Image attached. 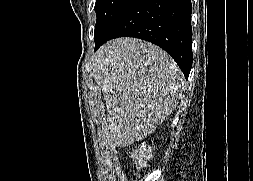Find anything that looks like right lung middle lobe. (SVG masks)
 I'll use <instances>...</instances> for the list:
<instances>
[{
	"mask_svg": "<svg viewBox=\"0 0 253 181\" xmlns=\"http://www.w3.org/2000/svg\"><path fill=\"white\" fill-rule=\"evenodd\" d=\"M132 0H96L97 21L94 37L100 35L130 4Z\"/></svg>",
	"mask_w": 253,
	"mask_h": 181,
	"instance_id": "dd1d6c3e",
	"label": "right lung middle lobe"
}]
</instances>
